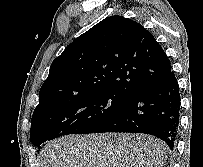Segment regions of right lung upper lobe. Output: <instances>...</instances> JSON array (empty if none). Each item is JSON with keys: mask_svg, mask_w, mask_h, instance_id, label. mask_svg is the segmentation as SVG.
I'll return each instance as SVG.
<instances>
[{"mask_svg": "<svg viewBox=\"0 0 203 167\" xmlns=\"http://www.w3.org/2000/svg\"><path fill=\"white\" fill-rule=\"evenodd\" d=\"M171 71L154 36L141 24L110 16L69 44L51 64L34 111L97 92L129 96Z\"/></svg>", "mask_w": 203, "mask_h": 167, "instance_id": "cb5924a9", "label": "right lung upper lobe"}]
</instances>
